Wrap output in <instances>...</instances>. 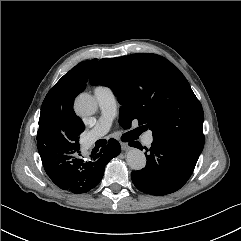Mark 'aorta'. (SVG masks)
Returning a JSON list of instances; mask_svg holds the SVG:
<instances>
[{"mask_svg": "<svg viewBox=\"0 0 241 241\" xmlns=\"http://www.w3.org/2000/svg\"><path fill=\"white\" fill-rule=\"evenodd\" d=\"M96 99L87 93L80 94L74 102V109L79 116H91L97 111ZM127 163L132 170H141L146 166V156L137 149L131 148L127 152Z\"/></svg>", "mask_w": 241, "mask_h": 241, "instance_id": "obj_1", "label": "aorta"}]
</instances>
